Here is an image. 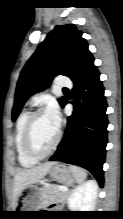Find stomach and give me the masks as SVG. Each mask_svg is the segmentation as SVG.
Segmentation results:
<instances>
[{
  "instance_id": "obj_1",
  "label": "stomach",
  "mask_w": 123,
  "mask_h": 219,
  "mask_svg": "<svg viewBox=\"0 0 123 219\" xmlns=\"http://www.w3.org/2000/svg\"><path fill=\"white\" fill-rule=\"evenodd\" d=\"M48 173L52 180L66 185L74 184L77 181L70 168L63 164H54ZM28 188L29 191L21 201V208L27 210L21 211H35L33 209H38L41 205L39 189L34 185H30Z\"/></svg>"
}]
</instances>
